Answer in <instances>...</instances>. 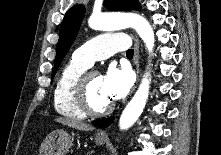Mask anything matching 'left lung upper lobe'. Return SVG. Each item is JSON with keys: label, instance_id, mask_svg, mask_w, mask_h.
Masks as SVG:
<instances>
[{"label": "left lung upper lobe", "instance_id": "obj_1", "mask_svg": "<svg viewBox=\"0 0 221 155\" xmlns=\"http://www.w3.org/2000/svg\"><path fill=\"white\" fill-rule=\"evenodd\" d=\"M104 5L111 10H140L141 8L138 0H105ZM84 14L85 7L83 5L74 6L65 14L60 27L59 41L56 47L55 66L51 78L56 74L61 61L74 42Z\"/></svg>", "mask_w": 221, "mask_h": 155}]
</instances>
